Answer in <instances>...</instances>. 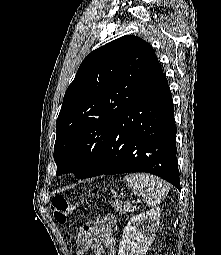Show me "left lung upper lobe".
<instances>
[{"label": "left lung upper lobe", "instance_id": "5c2ea615", "mask_svg": "<svg viewBox=\"0 0 221 255\" xmlns=\"http://www.w3.org/2000/svg\"><path fill=\"white\" fill-rule=\"evenodd\" d=\"M162 73L153 48L125 35L91 52L81 63L57 118V175L81 178L106 144L117 118Z\"/></svg>", "mask_w": 221, "mask_h": 255}]
</instances>
